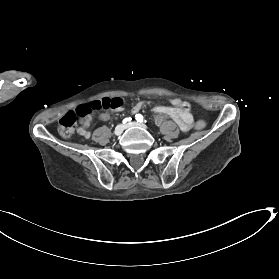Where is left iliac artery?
Returning <instances> with one entry per match:
<instances>
[{"instance_id": "44dca946", "label": "left iliac artery", "mask_w": 279, "mask_h": 279, "mask_svg": "<svg viewBox=\"0 0 279 279\" xmlns=\"http://www.w3.org/2000/svg\"><path fill=\"white\" fill-rule=\"evenodd\" d=\"M136 120L138 122H146V120L144 119V117L141 114H136Z\"/></svg>"}]
</instances>
